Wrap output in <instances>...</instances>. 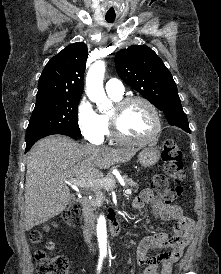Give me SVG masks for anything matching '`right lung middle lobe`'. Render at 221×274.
<instances>
[{"label": "right lung middle lobe", "mask_w": 221, "mask_h": 274, "mask_svg": "<svg viewBox=\"0 0 221 274\" xmlns=\"http://www.w3.org/2000/svg\"><path fill=\"white\" fill-rule=\"evenodd\" d=\"M81 96L37 99L26 131V141L40 135L62 132L81 137L77 113Z\"/></svg>", "instance_id": "right-lung-middle-lobe-1"}]
</instances>
